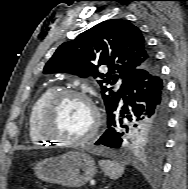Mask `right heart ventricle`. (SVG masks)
<instances>
[{
    "label": "right heart ventricle",
    "instance_id": "right-heart-ventricle-1",
    "mask_svg": "<svg viewBox=\"0 0 188 189\" xmlns=\"http://www.w3.org/2000/svg\"><path fill=\"white\" fill-rule=\"evenodd\" d=\"M56 92V87H49L37 97L29 109L27 128L29 138L33 144L42 145L52 142L41 135L39 131V121L46 103Z\"/></svg>",
    "mask_w": 188,
    "mask_h": 189
}]
</instances>
